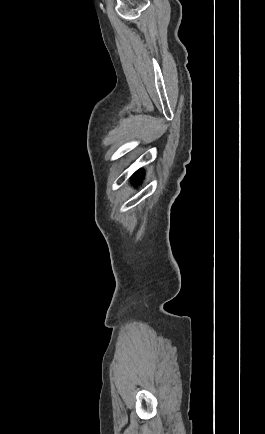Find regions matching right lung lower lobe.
Instances as JSON below:
<instances>
[{
  "label": "right lung lower lobe",
  "mask_w": 265,
  "mask_h": 434,
  "mask_svg": "<svg viewBox=\"0 0 265 434\" xmlns=\"http://www.w3.org/2000/svg\"><path fill=\"white\" fill-rule=\"evenodd\" d=\"M141 177H142V172H138V173L135 175L134 182L138 181L139 178H141Z\"/></svg>",
  "instance_id": "obj_1"
}]
</instances>
